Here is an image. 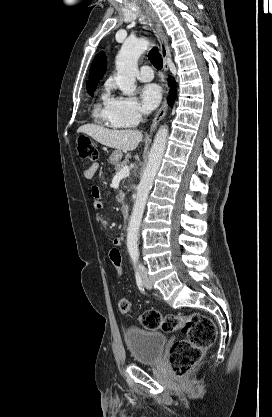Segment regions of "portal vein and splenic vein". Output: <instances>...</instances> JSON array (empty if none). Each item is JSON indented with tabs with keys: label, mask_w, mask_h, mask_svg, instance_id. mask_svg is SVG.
<instances>
[{
	"label": "portal vein and splenic vein",
	"mask_w": 272,
	"mask_h": 417,
	"mask_svg": "<svg viewBox=\"0 0 272 417\" xmlns=\"http://www.w3.org/2000/svg\"><path fill=\"white\" fill-rule=\"evenodd\" d=\"M130 174V169L128 166L123 167L119 172L118 175L120 176H128Z\"/></svg>",
	"instance_id": "obj_1"
}]
</instances>
